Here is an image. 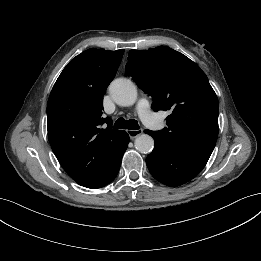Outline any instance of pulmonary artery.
Returning <instances> with one entry per match:
<instances>
[{"label": "pulmonary artery", "mask_w": 261, "mask_h": 261, "mask_svg": "<svg viewBox=\"0 0 261 261\" xmlns=\"http://www.w3.org/2000/svg\"><path fill=\"white\" fill-rule=\"evenodd\" d=\"M136 111L143 121L149 127H153L156 123V117L151 111L150 103L147 98H140L136 105Z\"/></svg>", "instance_id": "pulmonary-artery-1"}]
</instances>
